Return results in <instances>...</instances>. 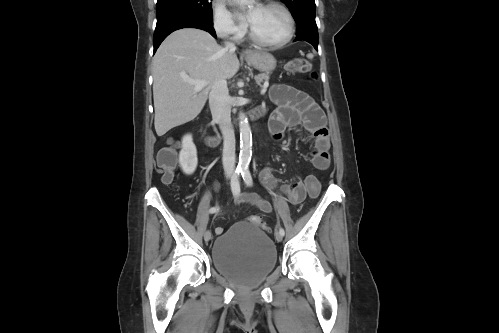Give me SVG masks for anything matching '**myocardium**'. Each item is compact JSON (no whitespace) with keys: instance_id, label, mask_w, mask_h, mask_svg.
<instances>
[{"instance_id":"f54148a6","label":"myocardium","mask_w":499,"mask_h":333,"mask_svg":"<svg viewBox=\"0 0 499 333\" xmlns=\"http://www.w3.org/2000/svg\"><path fill=\"white\" fill-rule=\"evenodd\" d=\"M263 6H265V7H276V8H279L280 10H282L284 12V14L286 15L287 21H288V31H287V34L281 40H278V41H266V40H263L262 38H260L253 31V29L251 28V26L249 25V27H248V35H249L250 39L254 43H256V44H258L260 46H264V47H281V46L286 45L288 42L291 41V39L294 36V32H295V20H294L292 12L290 11V9L286 5H284L283 3L278 2V1L269 0V1L265 2L263 4Z\"/></svg>"}]
</instances>
